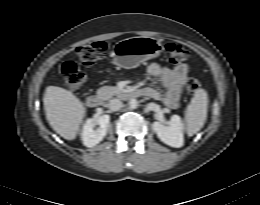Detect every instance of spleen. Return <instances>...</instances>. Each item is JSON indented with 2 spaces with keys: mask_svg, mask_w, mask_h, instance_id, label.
<instances>
[{
  "mask_svg": "<svg viewBox=\"0 0 260 205\" xmlns=\"http://www.w3.org/2000/svg\"><path fill=\"white\" fill-rule=\"evenodd\" d=\"M208 102L206 90L197 89L185 111L188 136H193L203 127L207 118Z\"/></svg>",
  "mask_w": 260,
  "mask_h": 205,
  "instance_id": "1",
  "label": "spleen"
}]
</instances>
